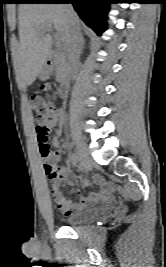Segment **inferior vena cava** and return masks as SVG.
<instances>
[{"label": "inferior vena cava", "instance_id": "1", "mask_svg": "<svg viewBox=\"0 0 166 267\" xmlns=\"http://www.w3.org/2000/svg\"><path fill=\"white\" fill-rule=\"evenodd\" d=\"M67 16V51L68 58L71 65L73 77L77 74V65L82 49V34L81 27L78 21L77 14L75 13L70 3L63 4Z\"/></svg>", "mask_w": 166, "mask_h": 267}]
</instances>
